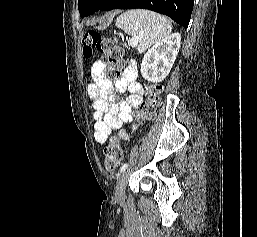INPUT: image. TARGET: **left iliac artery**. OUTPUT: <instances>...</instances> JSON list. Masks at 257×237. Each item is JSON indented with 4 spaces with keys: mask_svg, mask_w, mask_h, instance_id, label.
I'll return each instance as SVG.
<instances>
[{
    "mask_svg": "<svg viewBox=\"0 0 257 237\" xmlns=\"http://www.w3.org/2000/svg\"><path fill=\"white\" fill-rule=\"evenodd\" d=\"M127 167H128V163L123 164L122 167L120 168V173L125 172V170L127 169Z\"/></svg>",
    "mask_w": 257,
    "mask_h": 237,
    "instance_id": "obj_1",
    "label": "left iliac artery"
}]
</instances>
